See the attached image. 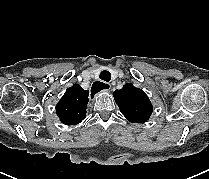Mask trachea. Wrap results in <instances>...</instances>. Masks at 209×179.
Instances as JSON below:
<instances>
[{
  "label": "trachea",
  "mask_w": 209,
  "mask_h": 179,
  "mask_svg": "<svg viewBox=\"0 0 209 179\" xmlns=\"http://www.w3.org/2000/svg\"><path fill=\"white\" fill-rule=\"evenodd\" d=\"M99 78H100L101 80H104V81H106V82H109L110 79H111V74H110L109 71L103 70V71L100 73Z\"/></svg>",
  "instance_id": "obj_1"
}]
</instances>
